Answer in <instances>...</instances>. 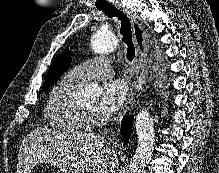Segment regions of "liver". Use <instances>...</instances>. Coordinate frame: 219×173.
Here are the masks:
<instances>
[{"label":"liver","instance_id":"6515ba94","mask_svg":"<svg viewBox=\"0 0 219 173\" xmlns=\"http://www.w3.org/2000/svg\"><path fill=\"white\" fill-rule=\"evenodd\" d=\"M39 162L57 166L65 173H116L118 159L110 143L92 134L67 135L36 129L23 139L17 173H30Z\"/></svg>","mask_w":219,"mask_h":173}]
</instances>
